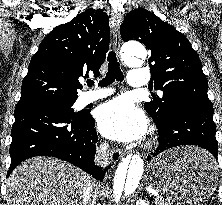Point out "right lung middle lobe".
I'll return each instance as SVG.
<instances>
[{
	"label": "right lung middle lobe",
	"instance_id": "obj_1",
	"mask_svg": "<svg viewBox=\"0 0 222 205\" xmlns=\"http://www.w3.org/2000/svg\"><path fill=\"white\" fill-rule=\"evenodd\" d=\"M75 101L72 102H64V101H48L40 104L39 106H46V107H52L55 109H58L60 111H63L75 118H83L84 113L82 112H74V109L72 108V105Z\"/></svg>",
	"mask_w": 222,
	"mask_h": 205
}]
</instances>
